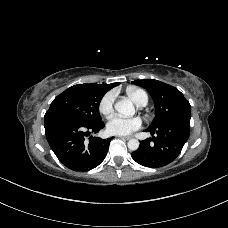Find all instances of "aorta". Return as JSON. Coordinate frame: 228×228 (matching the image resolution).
<instances>
[{
    "instance_id": "762f6f07",
    "label": "aorta",
    "mask_w": 228,
    "mask_h": 228,
    "mask_svg": "<svg viewBox=\"0 0 228 228\" xmlns=\"http://www.w3.org/2000/svg\"><path fill=\"white\" fill-rule=\"evenodd\" d=\"M114 107L117 112L126 117H131L135 114L134 105L129 99L118 101ZM127 145L130 150L135 151L139 148V141L137 139H130Z\"/></svg>"
}]
</instances>
